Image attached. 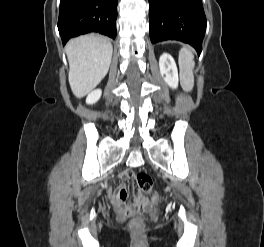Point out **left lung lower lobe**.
Masks as SVG:
<instances>
[{"label":"left lung lower lobe","mask_w":264,"mask_h":247,"mask_svg":"<svg viewBox=\"0 0 264 247\" xmlns=\"http://www.w3.org/2000/svg\"><path fill=\"white\" fill-rule=\"evenodd\" d=\"M149 19L152 43L178 40L201 53L207 24L202 0H149Z\"/></svg>","instance_id":"0a47b994"}]
</instances>
